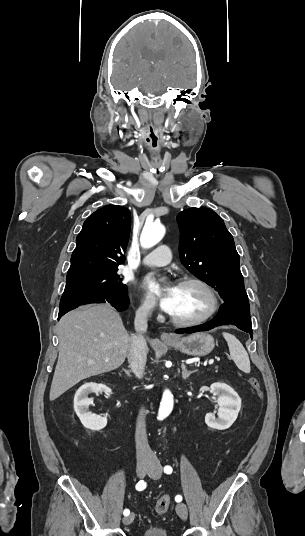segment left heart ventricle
Instances as JSON below:
<instances>
[{"label": "left heart ventricle", "instance_id": "left-heart-ventricle-1", "mask_svg": "<svg viewBox=\"0 0 305 536\" xmlns=\"http://www.w3.org/2000/svg\"><path fill=\"white\" fill-rule=\"evenodd\" d=\"M212 308L210 294L196 284L177 285L171 313L185 318H199Z\"/></svg>", "mask_w": 305, "mask_h": 536}]
</instances>
